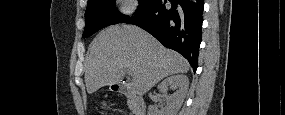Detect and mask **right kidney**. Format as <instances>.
<instances>
[{
  "label": "right kidney",
  "instance_id": "ca27d5eb",
  "mask_svg": "<svg viewBox=\"0 0 285 115\" xmlns=\"http://www.w3.org/2000/svg\"><path fill=\"white\" fill-rule=\"evenodd\" d=\"M168 87L173 88L176 92L167 95ZM189 87V80L185 75H173L163 80L158 85V90L165 96L166 106L160 111L157 107L150 105L148 115H177Z\"/></svg>",
  "mask_w": 285,
  "mask_h": 115
}]
</instances>
